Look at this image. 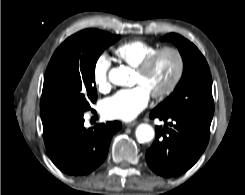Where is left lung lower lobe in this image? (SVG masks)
Instances as JSON below:
<instances>
[{"label": "left lung lower lobe", "instance_id": "0a47b994", "mask_svg": "<svg viewBox=\"0 0 245 195\" xmlns=\"http://www.w3.org/2000/svg\"><path fill=\"white\" fill-rule=\"evenodd\" d=\"M213 115L152 110L150 118L166 122L156 127V140L146 152L149 167L158 175L173 177L190 169L204 152Z\"/></svg>", "mask_w": 245, "mask_h": 195}]
</instances>
